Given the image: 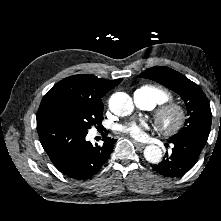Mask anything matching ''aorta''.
Segmentation results:
<instances>
[{"mask_svg": "<svg viewBox=\"0 0 221 221\" xmlns=\"http://www.w3.org/2000/svg\"><path fill=\"white\" fill-rule=\"evenodd\" d=\"M110 110L118 116L130 115L134 109L131 97L124 92L114 93L109 100ZM144 157L149 163H159L162 159V151L156 145H149L144 149Z\"/></svg>", "mask_w": 221, "mask_h": 221, "instance_id": "1", "label": "aorta"}]
</instances>
